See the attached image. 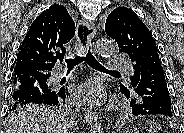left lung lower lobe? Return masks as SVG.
Segmentation results:
<instances>
[{"label":"left lung lower lobe","instance_id":"1","mask_svg":"<svg viewBox=\"0 0 184 133\" xmlns=\"http://www.w3.org/2000/svg\"><path fill=\"white\" fill-rule=\"evenodd\" d=\"M141 70L142 78L134 90L121 91L127 98L132 97V114L173 116L167 83L156 51L144 61Z\"/></svg>","mask_w":184,"mask_h":133}]
</instances>
